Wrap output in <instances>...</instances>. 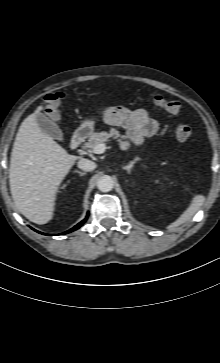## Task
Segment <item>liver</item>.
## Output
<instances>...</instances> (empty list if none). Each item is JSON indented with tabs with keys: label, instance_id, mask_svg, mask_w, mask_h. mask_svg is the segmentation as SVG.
<instances>
[{
	"label": "liver",
	"instance_id": "6515ba94",
	"mask_svg": "<svg viewBox=\"0 0 220 363\" xmlns=\"http://www.w3.org/2000/svg\"><path fill=\"white\" fill-rule=\"evenodd\" d=\"M43 108L38 106L21 123L9 170L10 191L16 208L36 224L52 219L59 186L79 159L40 129L36 115Z\"/></svg>",
	"mask_w": 220,
	"mask_h": 363
}]
</instances>
